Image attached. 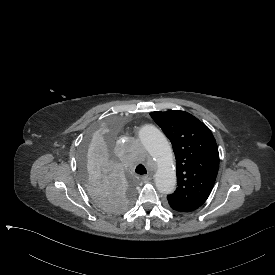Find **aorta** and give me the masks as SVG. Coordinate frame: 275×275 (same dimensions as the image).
<instances>
[{"mask_svg":"<svg viewBox=\"0 0 275 275\" xmlns=\"http://www.w3.org/2000/svg\"><path fill=\"white\" fill-rule=\"evenodd\" d=\"M139 138L143 143L149 144V157L160 161L154 176L157 190L162 194L173 193L176 187V171L172 150L165 135L154 125L147 124L139 130Z\"/></svg>","mask_w":275,"mask_h":275,"instance_id":"762f6f07","label":"aorta"}]
</instances>
